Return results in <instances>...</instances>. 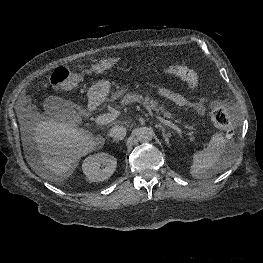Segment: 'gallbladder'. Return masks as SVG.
<instances>
[{
    "mask_svg": "<svg viewBox=\"0 0 263 263\" xmlns=\"http://www.w3.org/2000/svg\"><path fill=\"white\" fill-rule=\"evenodd\" d=\"M45 113L55 122L72 123L73 120H78L76 111L73 105L60 97L49 96L43 101Z\"/></svg>",
    "mask_w": 263,
    "mask_h": 263,
    "instance_id": "1",
    "label": "gallbladder"
}]
</instances>
